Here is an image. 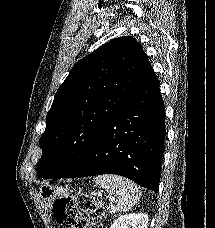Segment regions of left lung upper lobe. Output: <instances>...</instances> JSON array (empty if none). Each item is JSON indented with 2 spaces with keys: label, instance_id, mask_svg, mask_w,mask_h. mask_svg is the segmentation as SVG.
Listing matches in <instances>:
<instances>
[{
  "label": "left lung upper lobe",
  "instance_id": "1",
  "mask_svg": "<svg viewBox=\"0 0 215 228\" xmlns=\"http://www.w3.org/2000/svg\"><path fill=\"white\" fill-rule=\"evenodd\" d=\"M150 69L140 44L119 37L79 60L59 87L39 139L38 178H57L85 154Z\"/></svg>",
  "mask_w": 215,
  "mask_h": 228
}]
</instances>
